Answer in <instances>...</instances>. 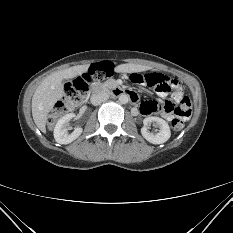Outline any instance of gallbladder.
I'll return each instance as SVG.
<instances>
[{
	"label": "gallbladder",
	"mask_w": 233,
	"mask_h": 233,
	"mask_svg": "<svg viewBox=\"0 0 233 233\" xmlns=\"http://www.w3.org/2000/svg\"><path fill=\"white\" fill-rule=\"evenodd\" d=\"M68 81H69V80L64 79V80L62 81V83L65 84V83L68 82Z\"/></svg>",
	"instance_id": "bac80fb5"
}]
</instances>
